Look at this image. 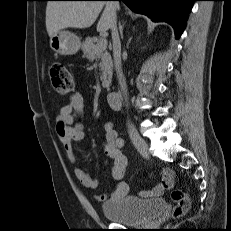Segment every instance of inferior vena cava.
I'll return each instance as SVG.
<instances>
[{"instance_id":"1","label":"inferior vena cava","mask_w":231,"mask_h":231,"mask_svg":"<svg viewBox=\"0 0 231 231\" xmlns=\"http://www.w3.org/2000/svg\"><path fill=\"white\" fill-rule=\"evenodd\" d=\"M113 5L117 8H119V3L117 1L113 2ZM111 34H112V41H113V57H114V63L115 68L117 72V77L119 79V84L121 87V91L124 94L125 101H127V87L125 78L123 76L122 72V65H121V42L117 30L116 25V18L113 19L112 25H111Z\"/></svg>"}]
</instances>
